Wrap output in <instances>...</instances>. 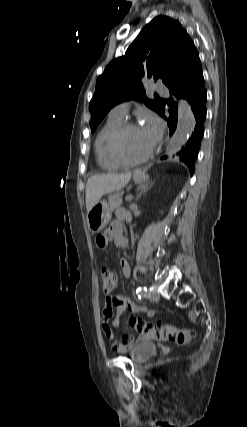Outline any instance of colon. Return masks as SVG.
Segmentation results:
<instances>
[{"label":"colon","mask_w":247,"mask_h":427,"mask_svg":"<svg viewBox=\"0 0 247 427\" xmlns=\"http://www.w3.org/2000/svg\"><path fill=\"white\" fill-rule=\"evenodd\" d=\"M101 285L104 293H111L117 287V276L109 269L101 271ZM129 325L147 339L173 341L179 345L189 343L194 337L191 329H180L170 324L153 325L137 318H131Z\"/></svg>","instance_id":"obj_1"}]
</instances>
